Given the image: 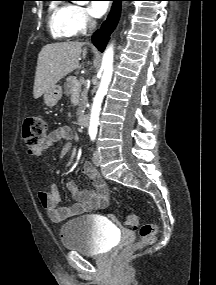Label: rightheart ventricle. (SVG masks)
Wrapping results in <instances>:
<instances>
[{
    "mask_svg": "<svg viewBox=\"0 0 216 285\" xmlns=\"http://www.w3.org/2000/svg\"><path fill=\"white\" fill-rule=\"evenodd\" d=\"M49 28L55 39H66L75 34L70 20V5L52 4L50 6Z\"/></svg>",
    "mask_w": 216,
    "mask_h": 285,
    "instance_id": "right-heart-ventricle-1",
    "label": "right heart ventricle"
}]
</instances>
